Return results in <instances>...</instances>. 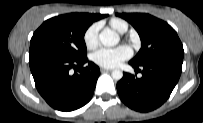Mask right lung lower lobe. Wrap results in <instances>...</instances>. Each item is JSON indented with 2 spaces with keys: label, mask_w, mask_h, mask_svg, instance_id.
Segmentation results:
<instances>
[{
  "label": "right lung lower lobe",
  "mask_w": 203,
  "mask_h": 123,
  "mask_svg": "<svg viewBox=\"0 0 203 123\" xmlns=\"http://www.w3.org/2000/svg\"><path fill=\"white\" fill-rule=\"evenodd\" d=\"M86 57L72 60L51 53H29L36 88L54 109L73 111L90 101L100 69ZM74 69V74H72Z\"/></svg>",
  "instance_id": "right-lung-lower-lobe-1"
}]
</instances>
